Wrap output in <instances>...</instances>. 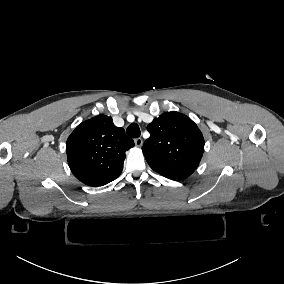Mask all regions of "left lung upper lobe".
I'll use <instances>...</instances> for the list:
<instances>
[{"mask_svg":"<svg viewBox=\"0 0 284 284\" xmlns=\"http://www.w3.org/2000/svg\"><path fill=\"white\" fill-rule=\"evenodd\" d=\"M147 129L150 138L142 150L154 171L172 180H182L196 170L203 155L204 138L188 116L166 112L155 118Z\"/></svg>","mask_w":284,"mask_h":284,"instance_id":"1","label":"left lung upper lobe"}]
</instances>
